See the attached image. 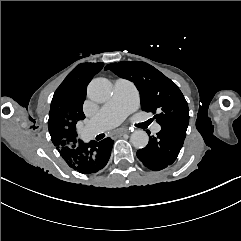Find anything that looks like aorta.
<instances>
[{
	"mask_svg": "<svg viewBox=\"0 0 241 241\" xmlns=\"http://www.w3.org/2000/svg\"><path fill=\"white\" fill-rule=\"evenodd\" d=\"M87 94L95 102H105L111 97L112 84L106 78H95L89 83ZM130 141L135 148L142 149L147 146L149 136L143 130H136L131 134Z\"/></svg>",
	"mask_w": 241,
	"mask_h": 241,
	"instance_id": "obj_1",
	"label": "aorta"
}]
</instances>
